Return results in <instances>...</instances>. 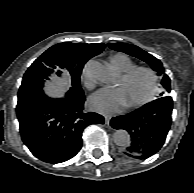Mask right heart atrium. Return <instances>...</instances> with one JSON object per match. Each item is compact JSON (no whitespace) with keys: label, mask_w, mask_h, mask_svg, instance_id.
<instances>
[{"label":"right heart atrium","mask_w":194,"mask_h":193,"mask_svg":"<svg viewBox=\"0 0 194 193\" xmlns=\"http://www.w3.org/2000/svg\"><path fill=\"white\" fill-rule=\"evenodd\" d=\"M88 66L86 65L83 69L82 72V78H83V82L84 85L88 88V89H93L95 86V81L93 80V78L89 75L88 71H87Z\"/></svg>","instance_id":"d8ad5b80"}]
</instances>
